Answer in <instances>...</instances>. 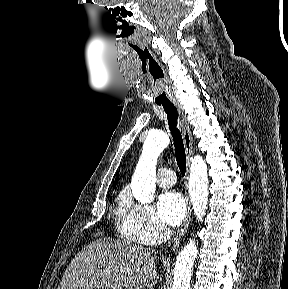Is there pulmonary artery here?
I'll use <instances>...</instances> for the list:
<instances>
[{
	"mask_svg": "<svg viewBox=\"0 0 288 289\" xmlns=\"http://www.w3.org/2000/svg\"><path fill=\"white\" fill-rule=\"evenodd\" d=\"M175 173L168 168H162L158 171L157 182L162 187H171L175 184Z\"/></svg>",
	"mask_w": 288,
	"mask_h": 289,
	"instance_id": "pulmonary-artery-1",
	"label": "pulmonary artery"
}]
</instances>
